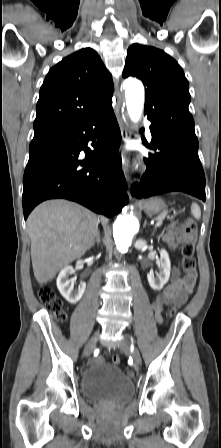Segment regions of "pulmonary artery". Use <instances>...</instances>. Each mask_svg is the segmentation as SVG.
<instances>
[{
	"label": "pulmonary artery",
	"instance_id": "1",
	"mask_svg": "<svg viewBox=\"0 0 221 448\" xmlns=\"http://www.w3.org/2000/svg\"><path fill=\"white\" fill-rule=\"evenodd\" d=\"M146 133H147V136L149 138H151V132H150V129H149V123H146Z\"/></svg>",
	"mask_w": 221,
	"mask_h": 448
}]
</instances>
